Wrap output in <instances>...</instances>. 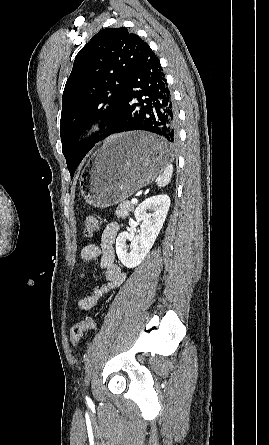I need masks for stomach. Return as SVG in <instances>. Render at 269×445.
Masks as SVG:
<instances>
[{
	"instance_id": "obj_1",
	"label": "stomach",
	"mask_w": 269,
	"mask_h": 445,
	"mask_svg": "<svg viewBox=\"0 0 269 445\" xmlns=\"http://www.w3.org/2000/svg\"><path fill=\"white\" fill-rule=\"evenodd\" d=\"M155 144L164 147L162 139L142 131L109 138L80 177L86 203L97 208L114 206L153 182L171 161L169 150H150Z\"/></svg>"
}]
</instances>
